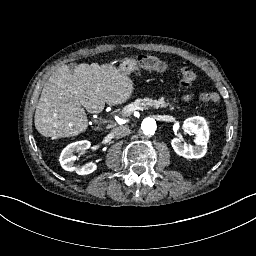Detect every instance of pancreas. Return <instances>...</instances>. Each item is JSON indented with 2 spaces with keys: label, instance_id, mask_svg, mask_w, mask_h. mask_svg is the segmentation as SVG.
I'll return each instance as SVG.
<instances>
[{
  "label": "pancreas",
  "instance_id": "pancreas-1",
  "mask_svg": "<svg viewBox=\"0 0 256 256\" xmlns=\"http://www.w3.org/2000/svg\"><path fill=\"white\" fill-rule=\"evenodd\" d=\"M144 102L146 105L154 106L155 108H164L169 106V103H166L163 98H160L159 100H151V99H145V100H137L132 105H138L140 106L141 103ZM130 106H126L122 112L123 116H128L131 114V112H127ZM171 110H173V107H171Z\"/></svg>",
  "mask_w": 256,
  "mask_h": 256
}]
</instances>
